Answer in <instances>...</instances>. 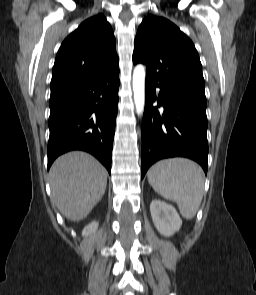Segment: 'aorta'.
Listing matches in <instances>:
<instances>
[{
    "label": "aorta",
    "instance_id": "obj_1",
    "mask_svg": "<svg viewBox=\"0 0 256 295\" xmlns=\"http://www.w3.org/2000/svg\"><path fill=\"white\" fill-rule=\"evenodd\" d=\"M132 86L136 113L142 115L145 106V68L141 64L133 71Z\"/></svg>",
    "mask_w": 256,
    "mask_h": 295
}]
</instances>
